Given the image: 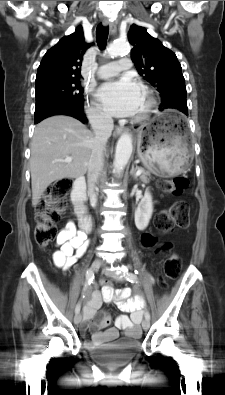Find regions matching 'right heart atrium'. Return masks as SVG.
I'll return each instance as SVG.
<instances>
[{
	"label": "right heart atrium",
	"mask_w": 225,
	"mask_h": 395,
	"mask_svg": "<svg viewBox=\"0 0 225 395\" xmlns=\"http://www.w3.org/2000/svg\"><path fill=\"white\" fill-rule=\"evenodd\" d=\"M87 115L94 122H106L107 115L100 109L97 103L90 102L87 107Z\"/></svg>",
	"instance_id": "obj_1"
}]
</instances>
